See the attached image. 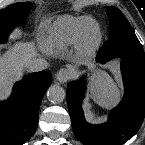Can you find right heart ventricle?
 I'll use <instances>...</instances> for the list:
<instances>
[{
	"mask_svg": "<svg viewBox=\"0 0 145 145\" xmlns=\"http://www.w3.org/2000/svg\"><path fill=\"white\" fill-rule=\"evenodd\" d=\"M98 27L88 16L64 15L56 18L41 39L43 50L50 54H61L81 45L86 33Z\"/></svg>",
	"mask_w": 145,
	"mask_h": 145,
	"instance_id": "1",
	"label": "right heart ventricle"
}]
</instances>
